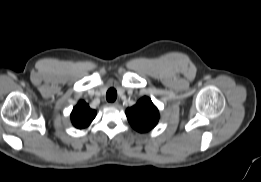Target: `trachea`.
<instances>
[{
  "label": "trachea",
  "mask_w": 261,
  "mask_h": 182,
  "mask_svg": "<svg viewBox=\"0 0 261 182\" xmlns=\"http://www.w3.org/2000/svg\"><path fill=\"white\" fill-rule=\"evenodd\" d=\"M117 98V91L114 88H110L106 93V99L108 102H114Z\"/></svg>",
  "instance_id": "obj_1"
}]
</instances>
